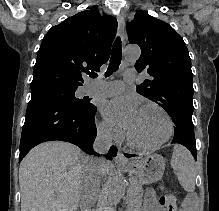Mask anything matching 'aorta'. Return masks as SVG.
<instances>
[{
	"label": "aorta",
	"instance_id": "obj_1",
	"mask_svg": "<svg viewBox=\"0 0 219 211\" xmlns=\"http://www.w3.org/2000/svg\"><path fill=\"white\" fill-rule=\"evenodd\" d=\"M140 56L138 46H127L125 49V58L129 61H135ZM126 183L124 179L119 178L113 182L108 193V203L113 206L117 205L125 193Z\"/></svg>",
	"mask_w": 219,
	"mask_h": 211
}]
</instances>
